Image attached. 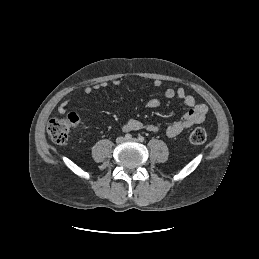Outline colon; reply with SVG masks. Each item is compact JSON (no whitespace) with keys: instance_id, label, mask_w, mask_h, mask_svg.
Masks as SVG:
<instances>
[{"instance_id":"obj_1","label":"colon","mask_w":259,"mask_h":259,"mask_svg":"<svg viewBox=\"0 0 259 259\" xmlns=\"http://www.w3.org/2000/svg\"><path fill=\"white\" fill-rule=\"evenodd\" d=\"M79 115L75 112L68 113L65 117L50 120L47 126V133L50 139L57 144L67 142L72 129L79 123ZM189 140L192 144H202L206 140V132L202 128L194 129Z\"/></svg>"}]
</instances>
